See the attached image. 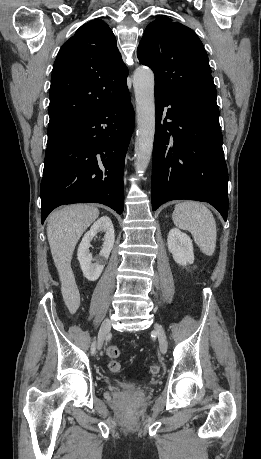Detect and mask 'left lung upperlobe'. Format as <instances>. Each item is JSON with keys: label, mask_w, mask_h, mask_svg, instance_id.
<instances>
[{"label": "left lung upper lobe", "mask_w": 261, "mask_h": 459, "mask_svg": "<svg viewBox=\"0 0 261 459\" xmlns=\"http://www.w3.org/2000/svg\"><path fill=\"white\" fill-rule=\"evenodd\" d=\"M155 74V90L192 104L217 106L208 56L196 33L167 17L145 29L137 49Z\"/></svg>", "instance_id": "obj_1"}]
</instances>
